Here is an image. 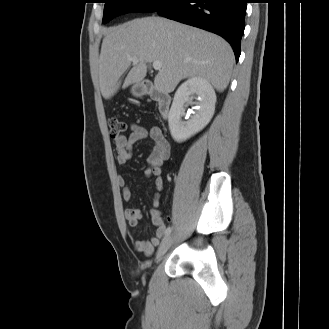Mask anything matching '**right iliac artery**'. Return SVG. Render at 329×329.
I'll list each match as a JSON object with an SVG mask.
<instances>
[{
	"label": "right iliac artery",
	"mask_w": 329,
	"mask_h": 329,
	"mask_svg": "<svg viewBox=\"0 0 329 329\" xmlns=\"http://www.w3.org/2000/svg\"><path fill=\"white\" fill-rule=\"evenodd\" d=\"M172 231V228L171 227H168L165 231V236H168Z\"/></svg>",
	"instance_id": "1"
}]
</instances>
